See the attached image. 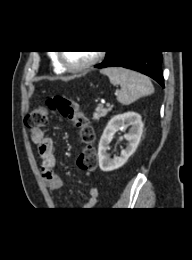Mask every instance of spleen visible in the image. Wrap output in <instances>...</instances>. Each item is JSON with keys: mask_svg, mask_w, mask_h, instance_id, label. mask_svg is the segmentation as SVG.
I'll return each instance as SVG.
<instances>
[{"mask_svg": "<svg viewBox=\"0 0 192 260\" xmlns=\"http://www.w3.org/2000/svg\"><path fill=\"white\" fill-rule=\"evenodd\" d=\"M107 75L113 85H120L117 100L123 105H129L137 99L154 93V87L148 77L124 69L121 67H110L101 70Z\"/></svg>", "mask_w": 192, "mask_h": 260, "instance_id": "1", "label": "spleen"}]
</instances>
